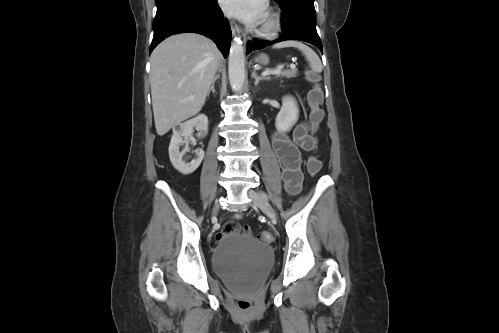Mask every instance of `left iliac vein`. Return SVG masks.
<instances>
[{"instance_id": "4c4485c4", "label": "left iliac vein", "mask_w": 499, "mask_h": 333, "mask_svg": "<svg viewBox=\"0 0 499 333\" xmlns=\"http://www.w3.org/2000/svg\"><path fill=\"white\" fill-rule=\"evenodd\" d=\"M248 197L251 199L252 204L259 207L268 218L274 222L277 220L274 209L262 195L254 190H249Z\"/></svg>"}]
</instances>
